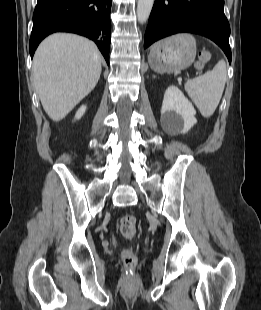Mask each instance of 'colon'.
<instances>
[{"mask_svg":"<svg viewBox=\"0 0 261 310\" xmlns=\"http://www.w3.org/2000/svg\"><path fill=\"white\" fill-rule=\"evenodd\" d=\"M209 60V55L208 54H202L200 56V62L199 65L202 66L204 65L207 61ZM120 232L123 237L126 239H132L135 237L137 233V219L133 215H124L120 219ZM122 259L124 264L127 267H133L136 262L137 258L134 252L130 249H125L122 252Z\"/></svg>","mask_w":261,"mask_h":310,"instance_id":"5ec220e1","label":"colon"}]
</instances>
